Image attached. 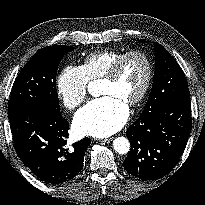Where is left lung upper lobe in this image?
I'll use <instances>...</instances> for the list:
<instances>
[{
	"label": "left lung upper lobe",
	"instance_id": "5c2ea615",
	"mask_svg": "<svg viewBox=\"0 0 205 205\" xmlns=\"http://www.w3.org/2000/svg\"><path fill=\"white\" fill-rule=\"evenodd\" d=\"M155 73L151 93L139 118L156 113L171 100L190 96L185 75L176 60L159 43H154Z\"/></svg>",
	"mask_w": 205,
	"mask_h": 205
}]
</instances>
